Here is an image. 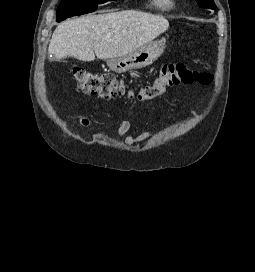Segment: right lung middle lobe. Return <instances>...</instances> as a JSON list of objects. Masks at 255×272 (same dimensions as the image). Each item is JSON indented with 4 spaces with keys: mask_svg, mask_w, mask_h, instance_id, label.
<instances>
[{
    "mask_svg": "<svg viewBox=\"0 0 255 272\" xmlns=\"http://www.w3.org/2000/svg\"><path fill=\"white\" fill-rule=\"evenodd\" d=\"M109 1L114 0H61L57 8L56 21L60 22L69 17L94 12L98 8L97 4Z\"/></svg>",
    "mask_w": 255,
    "mask_h": 272,
    "instance_id": "1",
    "label": "right lung middle lobe"
}]
</instances>
